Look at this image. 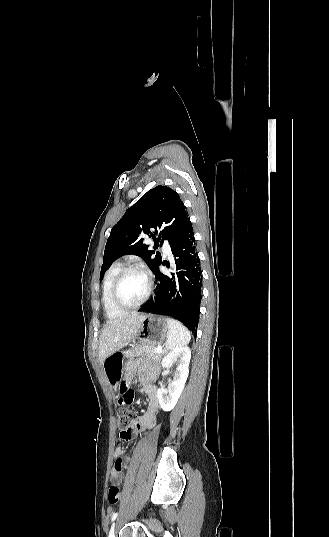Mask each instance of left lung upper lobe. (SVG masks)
<instances>
[{"label": "left lung upper lobe", "instance_id": "1", "mask_svg": "<svg viewBox=\"0 0 329 537\" xmlns=\"http://www.w3.org/2000/svg\"><path fill=\"white\" fill-rule=\"evenodd\" d=\"M189 223L178 193L161 185L149 190L112 228L105 246L100 280L112 262L125 254L140 256L154 271L162 261L161 254L149 250V246L143 244L144 237H153L156 243L168 240L172 245Z\"/></svg>", "mask_w": 329, "mask_h": 537}]
</instances>
